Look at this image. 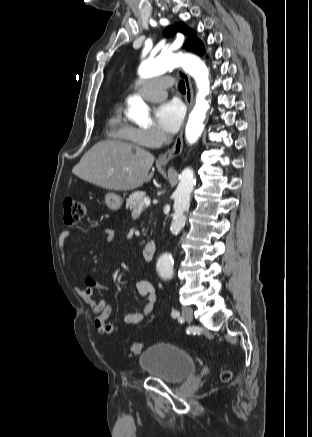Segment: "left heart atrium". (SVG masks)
<instances>
[{
    "label": "left heart atrium",
    "instance_id": "obj_1",
    "mask_svg": "<svg viewBox=\"0 0 312 437\" xmlns=\"http://www.w3.org/2000/svg\"><path fill=\"white\" fill-rule=\"evenodd\" d=\"M155 118L158 127L163 132L174 134L183 121L184 108L182 104L176 100L164 102L157 108Z\"/></svg>",
    "mask_w": 312,
    "mask_h": 437
}]
</instances>
